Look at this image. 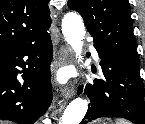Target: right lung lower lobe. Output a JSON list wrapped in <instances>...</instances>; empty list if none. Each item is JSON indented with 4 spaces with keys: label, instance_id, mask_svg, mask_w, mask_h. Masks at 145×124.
<instances>
[{
    "label": "right lung lower lobe",
    "instance_id": "98d812e1",
    "mask_svg": "<svg viewBox=\"0 0 145 124\" xmlns=\"http://www.w3.org/2000/svg\"><path fill=\"white\" fill-rule=\"evenodd\" d=\"M52 56L48 33L33 42L0 47V119L33 124L47 110L52 101ZM18 73H23L22 81Z\"/></svg>",
    "mask_w": 145,
    "mask_h": 124
}]
</instances>
